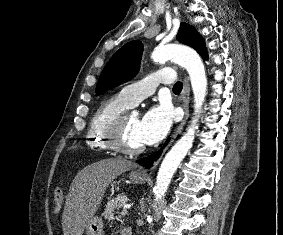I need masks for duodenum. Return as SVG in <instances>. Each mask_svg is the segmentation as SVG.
Wrapping results in <instances>:
<instances>
[{
	"mask_svg": "<svg viewBox=\"0 0 283 235\" xmlns=\"http://www.w3.org/2000/svg\"><path fill=\"white\" fill-rule=\"evenodd\" d=\"M121 235H131V231L129 228H123L121 230Z\"/></svg>",
	"mask_w": 283,
	"mask_h": 235,
	"instance_id": "duodenum-1",
	"label": "duodenum"
}]
</instances>
